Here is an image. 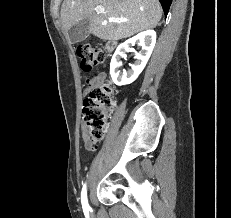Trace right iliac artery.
<instances>
[{"instance_id": "82829eb1", "label": "right iliac artery", "mask_w": 231, "mask_h": 218, "mask_svg": "<svg viewBox=\"0 0 231 218\" xmlns=\"http://www.w3.org/2000/svg\"><path fill=\"white\" fill-rule=\"evenodd\" d=\"M81 202H82V207L84 210L85 214H88V211L90 210L88 200H87V191H86V185L84 184L82 193H81Z\"/></svg>"}]
</instances>
